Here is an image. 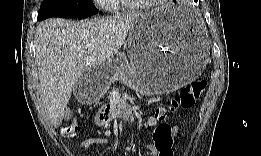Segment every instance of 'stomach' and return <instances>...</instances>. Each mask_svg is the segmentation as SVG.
<instances>
[{"mask_svg": "<svg viewBox=\"0 0 261 156\" xmlns=\"http://www.w3.org/2000/svg\"><path fill=\"white\" fill-rule=\"evenodd\" d=\"M185 3H169L142 14L132 25L129 60L117 53L84 72L90 97L101 96L115 75L143 94L176 90L196 79L208 61V46L192 21ZM135 67L134 74L125 68ZM116 69L121 73L114 74Z\"/></svg>", "mask_w": 261, "mask_h": 156, "instance_id": "1", "label": "stomach"}]
</instances>
